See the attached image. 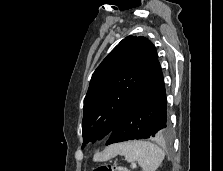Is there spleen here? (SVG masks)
I'll list each match as a JSON object with an SVG mask.
<instances>
[{
	"instance_id": "1",
	"label": "spleen",
	"mask_w": 223,
	"mask_h": 171,
	"mask_svg": "<svg viewBox=\"0 0 223 171\" xmlns=\"http://www.w3.org/2000/svg\"><path fill=\"white\" fill-rule=\"evenodd\" d=\"M119 153L127 162H138L143 171H156L165 157L164 151L159 146L141 140L122 144Z\"/></svg>"
}]
</instances>
